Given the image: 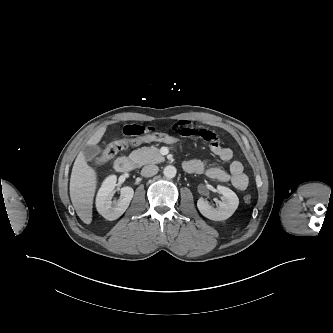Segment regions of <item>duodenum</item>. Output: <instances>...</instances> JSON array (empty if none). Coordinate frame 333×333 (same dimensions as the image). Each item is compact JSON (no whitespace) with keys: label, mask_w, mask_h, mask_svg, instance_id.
Masks as SVG:
<instances>
[{"label":"duodenum","mask_w":333,"mask_h":333,"mask_svg":"<svg viewBox=\"0 0 333 333\" xmlns=\"http://www.w3.org/2000/svg\"><path fill=\"white\" fill-rule=\"evenodd\" d=\"M134 166L135 161L132 158L128 157H119L114 163L115 169L121 173L130 172L134 168Z\"/></svg>","instance_id":"1"}]
</instances>
